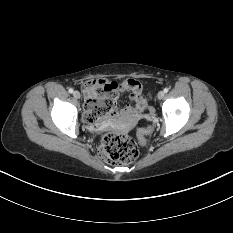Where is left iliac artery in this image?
Here are the masks:
<instances>
[{
	"label": "left iliac artery",
	"mask_w": 233,
	"mask_h": 233,
	"mask_svg": "<svg viewBox=\"0 0 233 233\" xmlns=\"http://www.w3.org/2000/svg\"><path fill=\"white\" fill-rule=\"evenodd\" d=\"M168 91H169V89H168V88H165V89H164V92H165V93H167Z\"/></svg>",
	"instance_id": "44dca946"
}]
</instances>
